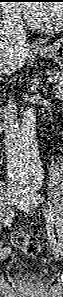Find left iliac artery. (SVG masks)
I'll return each instance as SVG.
<instances>
[{"label":"left iliac artery","mask_w":63,"mask_h":297,"mask_svg":"<svg viewBox=\"0 0 63 297\" xmlns=\"http://www.w3.org/2000/svg\"><path fill=\"white\" fill-rule=\"evenodd\" d=\"M24 193L26 194L24 197V200H26L29 204L36 205L39 203H43V201H44V198L40 194L36 193V187L31 188L30 190H25ZM21 203H23V202H21ZM46 217H47L48 223H50L47 233H48L50 242L55 244L56 241L54 239V232H53V228L51 225V221L53 220L51 212L47 211Z\"/></svg>","instance_id":"1"}]
</instances>
